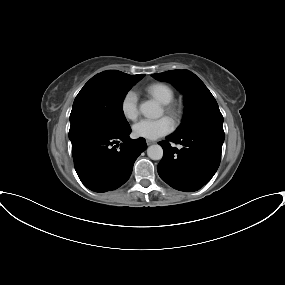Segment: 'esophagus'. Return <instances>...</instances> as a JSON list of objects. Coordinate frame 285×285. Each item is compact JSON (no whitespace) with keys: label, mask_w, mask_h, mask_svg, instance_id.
<instances>
[{"label":"esophagus","mask_w":285,"mask_h":285,"mask_svg":"<svg viewBox=\"0 0 285 285\" xmlns=\"http://www.w3.org/2000/svg\"><path fill=\"white\" fill-rule=\"evenodd\" d=\"M146 143H147V145H151V144H153L154 143V141H152V140H146Z\"/></svg>","instance_id":"1"}]
</instances>
